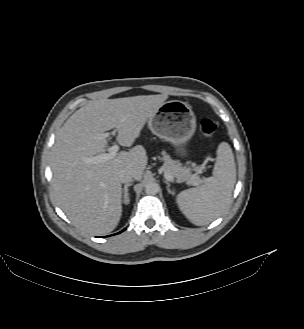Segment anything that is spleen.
<instances>
[{
    "label": "spleen",
    "instance_id": "1",
    "mask_svg": "<svg viewBox=\"0 0 304 329\" xmlns=\"http://www.w3.org/2000/svg\"><path fill=\"white\" fill-rule=\"evenodd\" d=\"M236 181V165L230 145L219 144L217 160L210 181L199 188H190L176 197L181 212L197 226L214 221L230 204Z\"/></svg>",
    "mask_w": 304,
    "mask_h": 329
}]
</instances>
